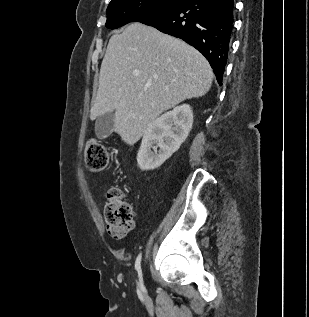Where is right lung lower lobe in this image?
<instances>
[{
  "label": "right lung lower lobe",
  "mask_w": 309,
  "mask_h": 317,
  "mask_svg": "<svg viewBox=\"0 0 309 317\" xmlns=\"http://www.w3.org/2000/svg\"><path fill=\"white\" fill-rule=\"evenodd\" d=\"M233 14V0H186L142 15L133 22L153 26L195 47L209 61L221 85L232 37Z\"/></svg>",
  "instance_id": "obj_1"
}]
</instances>
